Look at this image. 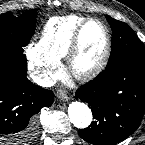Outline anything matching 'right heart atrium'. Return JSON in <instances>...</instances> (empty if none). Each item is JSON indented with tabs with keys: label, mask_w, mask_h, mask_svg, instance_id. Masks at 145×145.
Here are the masks:
<instances>
[{
	"label": "right heart atrium",
	"mask_w": 145,
	"mask_h": 145,
	"mask_svg": "<svg viewBox=\"0 0 145 145\" xmlns=\"http://www.w3.org/2000/svg\"><path fill=\"white\" fill-rule=\"evenodd\" d=\"M29 60L37 79L43 83H51L60 71V61L41 53L36 45L29 49Z\"/></svg>",
	"instance_id": "1"
}]
</instances>
